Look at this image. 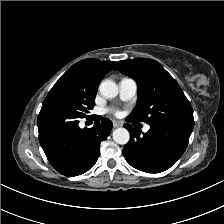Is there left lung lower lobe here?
Listing matches in <instances>:
<instances>
[{"label": "left lung lower lobe", "mask_w": 224, "mask_h": 224, "mask_svg": "<svg viewBox=\"0 0 224 224\" xmlns=\"http://www.w3.org/2000/svg\"><path fill=\"white\" fill-rule=\"evenodd\" d=\"M147 133L124 126L130 132V141L124 146L123 155L134 168L159 173L169 169L184 153L194 127L193 120L162 121L149 124Z\"/></svg>", "instance_id": "left-lung-lower-lobe-1"}]
</instances>
